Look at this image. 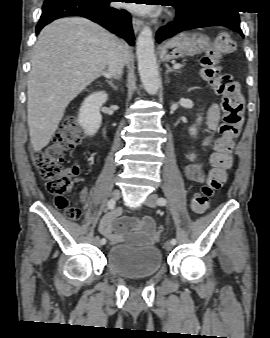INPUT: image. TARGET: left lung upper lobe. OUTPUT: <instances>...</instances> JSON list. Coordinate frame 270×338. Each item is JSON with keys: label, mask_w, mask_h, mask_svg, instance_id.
Masks as SVG:
<instances>
[{"label": "left lung upper lobe", "mask_w": 270, "mask_h": 338, "mask_svg": "<svg viewBox=\"0 0 270 338\" xmlns=\"http://www.w3.org/2000/svg\"><path fill=\"white\" fill-rule=\"evenodd\" d=\"M177 2H185L182 4L186 8H197L199 6L209 4V3L228 2V0H178Z\"/></svg>", "instance_id": "obj_1"}]
</instances>
